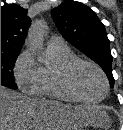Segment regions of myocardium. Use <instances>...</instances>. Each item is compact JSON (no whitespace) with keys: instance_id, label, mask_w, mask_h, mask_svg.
<instances>
[{"instance_id":"obj_1","label":"myocardium","mask_w":123,"mask_h":130,"mask_svg":"<svg viewBox=\"0 0 123 130\" xmlns=\"http://www.w3.org/2000/svg\"><path fill=\"white\" fill-rule=\"evenodd\" d=\"M80 65L91 66L92 68L97 70V72L102 77V79L104 81V85H105V90H104L103 95L99 99L90 100V99L84 98L75 89L74 84H73V79H72L73 73L76 70V68L79 67ZM57 77H58V81H59V84H60L62 90L72 100L82 102V103L97 104V103L101 102L108 94L109 88H110L108 78H107L105 72L103 71V69L95 62L84 59V58H80V57H74V58L58 65Z\"/></svg>"}]
</instances>
